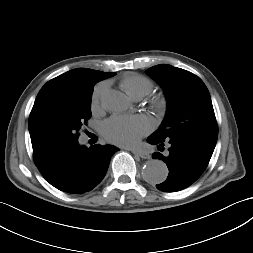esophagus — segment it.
Returning <instances> with one entry per match:
<instances>
[{
	"mask_svg": "<svg viewBox=\"0 0 253 253\" xmlns=\"http://www.w3.org/2000/svg\"><path fill=\"white\" fill-rule=\"evenodd\" d=\"M132 153L135 155V156H138L142 159H148L149 158V154L145 151H142V150H137V149H133L131 150Z\"/></svg>",
	"mask_w": 253,
	"mask_h": 253,
	"instance_id": "1",
	"label": "esophagus"
}]
</instances>
